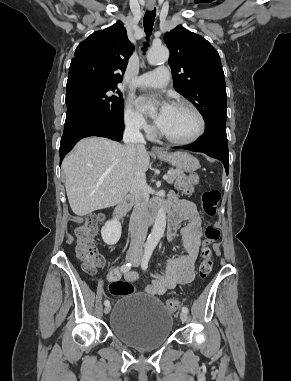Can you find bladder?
I'll use <instances>...</instances> for the list:
<instances>
[{
	"instance_id": "31cf9c89",
	"label": "bladder",
	"mask_w": 291,
	"mask_h": 381,
	"mask_svg": "<svg viewBox=\"0 0 291 381\" xmlns=\"http://www.w3.org/2000/svg\"><path fill=\"white\" fill-rule=\"evenodd\" d=\"M173 317L156 296L147 293L122 296L109 317L111 333L140 350L156 349L171 336Z\"/></svg>"
}]
</instances>
